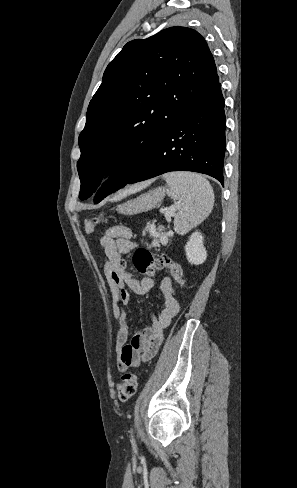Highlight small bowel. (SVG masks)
Instances as JSON below:
<instances>
[{
  "label": "small bowel",
  "mask_w": 297,
  "mask_h": 488,
  "mask_svg": "<svg viewBox=\"0 0 297 488\" xmlns=\"http://www.w3.org/2000/svg\"><path fill=\"white\" fill-rule=\"evenodd\" d=\"M131 230L123 225L108 228L100 238V247L106 261L104 274L111 293L112 316L118 322L116 327V360L120 371L137 367L151 359L163 340V331L179 311V304L173 295L172 280L163 276L159 282L161 306L159 314L150 315L151 323L135 334L130 342L126 308L132 301L130 291L138 295L148 293L155 284L154 277L136 279L120 267L121 254H129L137 245L131 240Z\"/></svg>",
  "instance_id": "c3829d8e"
}]
</instances>
